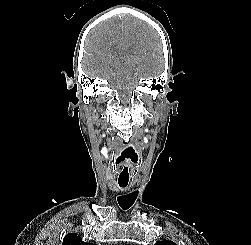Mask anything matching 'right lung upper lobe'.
I'll return each instance as SVG.
<instances>
[{
    "instance_id": "1",
    "label": "right lung upper lobe",
    "mask_w": 251,
    "mask_h": 245,
    "mask_svg": "<svg viewBox=\"0 0 251 245\" xmlns=\"http://www.w3.org/2000/svg\"><path fill=\"white\" fill-rule=\"evenodd\" d=\"M62 245H93L84 242L76 233H69L65 236Z\"/></svg>"
}]
</instances>
